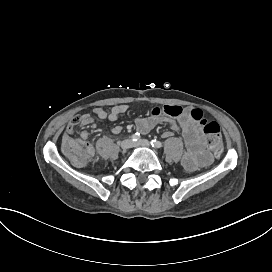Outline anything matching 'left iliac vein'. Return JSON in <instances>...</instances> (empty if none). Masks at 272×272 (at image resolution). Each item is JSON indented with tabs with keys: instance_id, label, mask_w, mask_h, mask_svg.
Masks as SVG:
<instances>
[{
	"instance_id": "1",
	"label": "left iliac vein",
	"mask_w": 272,
	"mask_h": 272,
	"mask_svg": "<svg viewBox=\"0 0 272 272\" xmlns=\"http://www.w3.org/2000/svg\"><path fill=\"white\" fill-rule=\"evenodd\" d=\"M132 145L135 146V147L142 146V147L149 148L151 146V143L148 140L141 139L138 142L132 143Z\"/></svg>"
}]
</instances>
